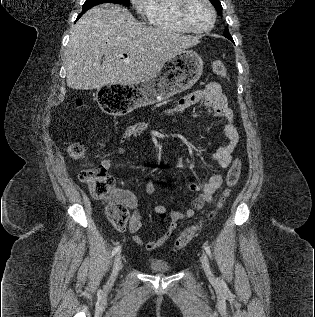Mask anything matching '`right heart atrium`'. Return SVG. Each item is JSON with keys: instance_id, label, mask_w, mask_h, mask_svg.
<instances>
[{"instance_id": "d8ad5b80", "label": "right heart atrium", "mask_w": 315, "mask_h": 317, "mask_svg": "<svg viewBox=\"0 0 315 317\" xmlns=\"http://www.w3.org/2000/svg\"><path fill=\"white\" fill-rule=\"evenodd\" d=\"M152 0H131L132 5L140 14H145L148 12Z\"/></svg>"}]
</instances>
